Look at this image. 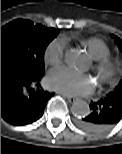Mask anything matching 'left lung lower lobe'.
<instances>
[{
  "label": "left lung lower lobe",
  "instance_id": "1",
  "mask_svg": "<svg viewBox=\"0 0 122 154\" xmlns=\"http://www.w3.org/2000/svg\"><path fill=\"white\" fill-rule=\"evenodd\" d=\"M121 119L122 103L108 94L103 99L92 101L89 114L79 119L77 124L85 131L99 133L112 128Z\"/></svg>",
  "mask_w": 122,
  "mask_h": 154
}]
</instances>
